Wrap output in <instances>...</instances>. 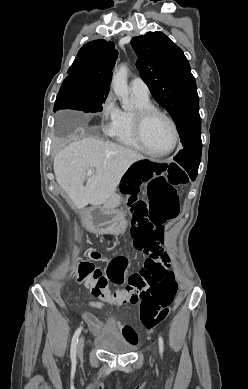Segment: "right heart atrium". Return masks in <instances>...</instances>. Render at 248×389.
I'll list each match as a JSON object with an SVG mask.
<instances>
[{
  "mask_svg": "<svg viewBox=\"0 0 248 389\" xmlns=\"http://www.w3.org/2000/svg\"><path fill=\"white\" fill-rule=\"evenodd\" d=\"M119 114V108L111 94L107 95L102 103L100 116L104 122V130L111 134Z\"/></svg>",
  "mask_w": 248,
  "mask_h": 389,
  "instance_id": "obj_1",
  "label": "right heart atrium"
}]
</instances>
